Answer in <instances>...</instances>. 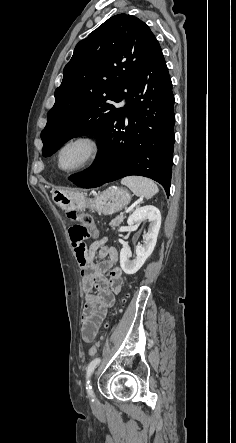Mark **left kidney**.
Listing matches in <instances>:
<instances>
[{
    "instance_id": "left-kidney-1",
    "label": "left kidney",
    "mask_w": 236,
    "mask_h": 443,
    "mask_svg": "<svg viewBox=\"0 0 236 443\" xmlns=\"http://www.w3.org/2000/svg\"><path fill=\"white\" fill-rule=\"evenodd\" d=\"M150 222L148 232L143 234V245H137L134 259L130 260L131 251L128 246H123L120 251V266L124 273L135 274L151 255L157 242L158 232L161 226V214L155 206H143L137 208L128 218L127 223L130 228L146 220Z\"/></svg>"
}]
</instances>
